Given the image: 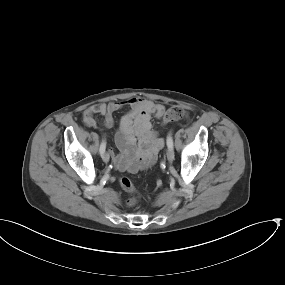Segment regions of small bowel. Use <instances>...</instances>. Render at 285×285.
<instances>
[{
	"instance_id": "1",
	"label": "small bowel",
	"mask_w": 285,
	"mask_h": 285,
	"mask_svg": "<svg viewBox=\"0 0 285 285\" xmlns=\"http://www.w3.org/2000/svg\"><path fill=\"white\" fill-rule=\"evenodd\" d=\"M127 108L123 116L115 140L122 154L113 156L117 170L135 173L151 168L163 148V140L152 127V116L162 117L157 112L161 108L157 103L143 98H131L126 101L96 103L84 112V123L88 127L95 126V115L102 117L106 128L115 125V114Z\"/></svg>"
}]
</instances>
